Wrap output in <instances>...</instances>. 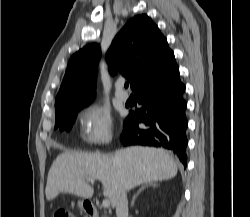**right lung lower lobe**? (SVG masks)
<instances>
[{"mask_svg":"<svg viewBox=\"0 0 250 217\" xmlns=\"http://www.w3.org/2000/svg\"><path fill=\"white\" fill-rule=\"evenodd\" d=\"M142 108L126 118L120 137L123 145H150L173 151L187 166L185 116L183 99L185 86L179 78V69L172 54L164 65L134 90ZM144 128L140 129L139 124Z\"/></svg>","mask_w":250,"mask_h":217,"instance_id":"right-lung-lower-lobe-1","label":"right lung lower lobe"}]
</instances>
